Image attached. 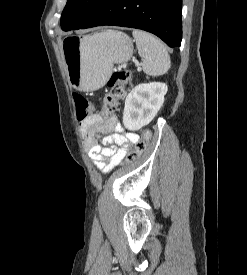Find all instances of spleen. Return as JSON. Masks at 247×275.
<instances>
[{"label": "spleen", "mask_w": 247, "mask_h": 275, "mask_svg": "<svg viewBox=\"0 0 247 275\" xmlns=\"http://www.w3.org/2000/svg\"><path fill=\"white\" fill-rule=\"evenodd\" d=\"M138 54L143 60V71L147 75L160 76L170 68L171 61L166 46L155 36L142 30H133ZM95 37H98L96 35Z\"/></svg>", "instance_id": "1"}]
</instances>
